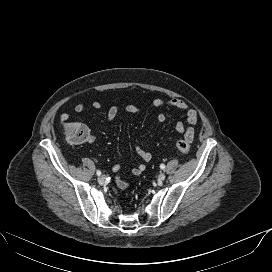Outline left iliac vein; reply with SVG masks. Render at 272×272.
I'll use <instances>...</instances> for the list:
<instances>
[{
    "instance_id": "obj_1",
    "label": "left iliac vein",
    "mask_w": 272,
    "mask_h": 272,
    "mask_svg": "<svg viewBox=\"0 0 272 272\" xmlns=\"http://www.w3.org/2000/svg\"><path fill=\"white\" fill-rule=\"evenodd\" d=\"M165 178H166V175L164 173H160L159 176H158V181L162 182V181L165 180Z\"/></svg>"
}]
</instances>
